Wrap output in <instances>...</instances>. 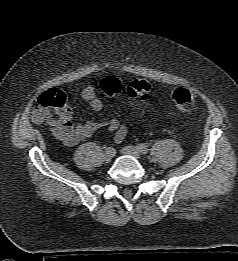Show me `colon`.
<instances>
[{"label": "colon", "mask_w": 238, "mask_h": 261, "mask_svg": "<svg viewBox=\"0 0 238 261\" xmlns=\"http://www.w3.org/2000/svg\"><path fill=\"white\" fill-rule=\"evenodd\" d=\"M96 90L101 97H113L120 93L121 84L116 78L110 77L99 82ZM126 93L131 99H146L150 93V84L144 79L133 80L127 86ZM195 98V91L189 88H177L172 94L174 105L184 113L192 109ZM70 116L66 94L56 89H49L40 95L33 113L35 121L40 122L46 119L50 125L61 124Z\"/></svg>", "instance_id": "5ec220e1"}]
</instances>
